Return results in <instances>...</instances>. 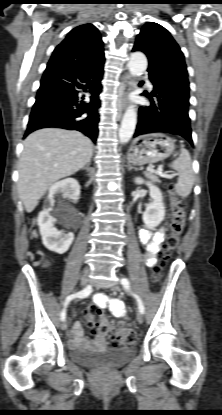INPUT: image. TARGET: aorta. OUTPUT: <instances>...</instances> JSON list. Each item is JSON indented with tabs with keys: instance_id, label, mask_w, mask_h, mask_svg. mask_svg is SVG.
I'll return each instance as SVG.
<instances>
[{
	"instance_id": "obj_1",
	"label": "aorta",
	"mask_w": 222,
	"mask_h": 415,
	"mask_svg": "<svg viewBox=\"0 0 222 415\" xmlns=\"http://www.w3.org/2000/svg\"><path fill=\"white\" fill-rule=\"evenodd\" d=\"M147 58L142 52H134L131 54L128 68L132 76H140L147 69ZM137 123V113L133 106L127 108L119 129V140L121 143H127L135 131Z\"/></svg>"
}]
</instances>
